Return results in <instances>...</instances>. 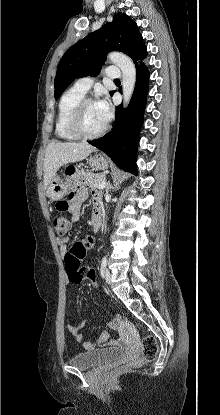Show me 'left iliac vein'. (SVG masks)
<instances>
[{
	"instance_id": "1",
	"label": "left iliac vein",
	"mask_w": 220,
	"mask_h": 415,
	"mask_svg": "<svg viewBox=\"0 0 220 415\" xmlns=\"http://www.w3.org/2000/svg\"><path fill=\"white\" fill-rule=\"evenodd\" d=\"M103 277L107 283L111 282V273L107 268L103 270Z\"/></svg>"
}]
</instances>
